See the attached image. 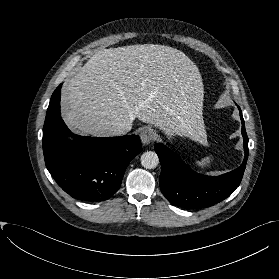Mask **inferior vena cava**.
Wrapping results in <instances>:
<instances>
[{"label":"inferior vena cava","mask_w":279,"mask_h":279,"mask_svg":"<svg viewBox=\"0 0 279 279\" xmlns=\"http://www.w3.org/2000/svg\"><path fill=\"white\" fill-rule=\"evenodd\" d=\"M132 128V125H126V126H123L121 129H120V133L121 134H126L127 132H129Z\"/></svg>","instance_id":"1"}]
</instances>
